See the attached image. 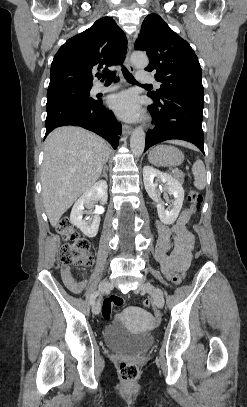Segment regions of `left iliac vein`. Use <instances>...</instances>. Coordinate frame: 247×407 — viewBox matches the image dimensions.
Here are the masks:
<instances>
[{
  "instance_id": "1",
  "label": "left iliac vein",
  "mask_w": 247,
  "mask_h": 407,
  "mask_svg": "<svg viewBox=\"0 0 247 407\" xmlns=\"http://www.w3.org/2000/svg\"><path fill=\"white\" fill-rule=\"evenodd\" d=\"M139 290L142 293L148 292L152 295L154 302L158 308H163L164 306V298L162 294L149 282H143L139 286Z\"/></svg>"
}]
</instances>
